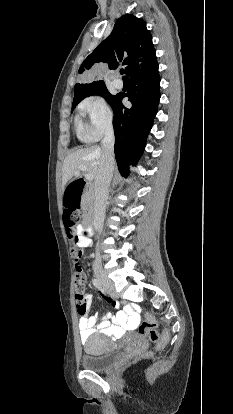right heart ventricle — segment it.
I'll return each mask as SVG.
<instances>
[{
	"instance_id": "1",
	"label": "right heart ventricle",
	"mask_w": 233,
	"mask_h": 414,
	"mask_svg": "<svg viewBox=\"0 0 233 414\" xmlns=\"http://www.w3.org/2000/svg\"><path fill=\"white\" fill-rule=\"evenodd\" d=\"M77 129H78L79 133L82 134L84 128H83L80 121H77Z\"/></svg>"
}]
</instances>
